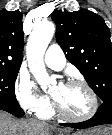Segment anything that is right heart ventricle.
<instances>
[{"label":"right heart ventricle","mask_w":112,"mask_h":135,"mask_svg":"<svg viewBox=\"0 0 112 135\" xmlns=\"http://www.w3.org/2000/svg\"><path fill=\"white\" fill-rule=\"evenodd\" d=\"M38 114L41 118L48 119L54 115V112L51 108L47 107L46 109L40 111Z\"/></svg>","instance_id":"1"}]
</instances>
